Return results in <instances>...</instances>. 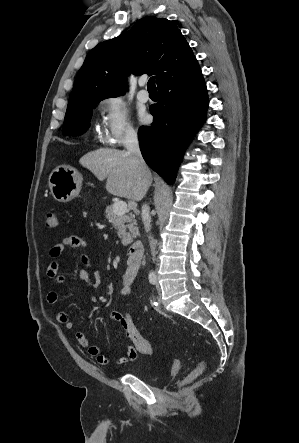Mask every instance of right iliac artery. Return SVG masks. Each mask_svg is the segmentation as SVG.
Returning <instances> with one entry per match:
<instances>
[{
  "label": "right iliac artery",
  "instance_id": "1",
  "mask_svg": "<svg viewBox=\"0 0 299 443\" xmlns=\"http://www.w3.org/2000/svg\"><path fill=\"white\" fill-rule=\"evenodd\" d=\"M149 282H150L152 285L156 284V282H157V277H156L155 273H150V274H149Z\"/></svg>",
  "mask_w": 299,
  "mask_h": 443
}]
</instances>
